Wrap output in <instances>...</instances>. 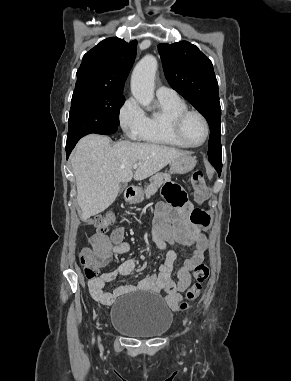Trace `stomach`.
<instances>
[{
  "mask_svg": "<svg viewBox=\"0 0 291 381\" xmlns=\"http://www.w3.org/2000/svg\"><path fill=\"white\" fill-rule=\"evenodd\" d=\"M195 164L196 161L191 155L184 154L170 163L171 172L175 174H185L191 171L194 168ZM142 200L143 194L139 193L133 198L132 202L139 203Z\"/></svg>",
  "mask_w": 291,
  "mask_h": 381,
  "instance_id": "obj_1",
  "label": "stomach"
}]
</instances>
